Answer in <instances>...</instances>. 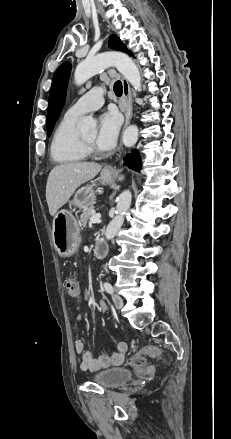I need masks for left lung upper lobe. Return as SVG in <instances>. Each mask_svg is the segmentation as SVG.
Segmentation results:
<instances>
[{"label": "left lung upper lobe", "instance_id": "1", "mask_svg": "<svg viewBox=\"0 0 231 439\" xmlns=\"http://www.w3.org/2000/svg\"><path fill=\"white\" fill-rule=\"evenodd\" d=\"M109 47L115 50L127 52L133 56L131 51L121 42L119 37L111 35L109 38ZM71 65L63 63L55 72L52 80V86L49 94V107L47 113V132L48 136L52 133L55 122L57 121L65 103L66 88L70 75Z\"/></svg>", "mask_w": 231, "mask_h": 439}]
</instances>
